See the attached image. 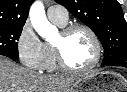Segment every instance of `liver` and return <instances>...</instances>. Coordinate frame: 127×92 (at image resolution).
Returning <instances> with one entry per match:
<instances>
[{"label": "liver", "instance_id": "liver-1", "mask_svg": "<svg viewBox=\"0 0 127 92\" xmlns=\"http://www.w3.org/2000/svg\"><path fill=\"white\" fill-rule=\"evenodd\" d=\"M79 76H47L0 56V92H70Z\"/></svg>", "mask_w": 127, "mask_h": 92}]
</instances>
